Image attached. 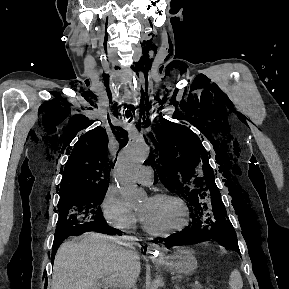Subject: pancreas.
<instances>
[{"mask_svg": "<svg viewBox=\"0 0 289 289\" xmlns=\"http://www.w3.org/2000/svg\"><path fill=\"white\" fill-rule=\"evenodd\" d=\"M195 289H203L202 287H199V288H195Z\"/></svg>", "mask_w": 289, "mask_h": 289, "instance_id": "1", "label": "pancreas"}]
</instances>
